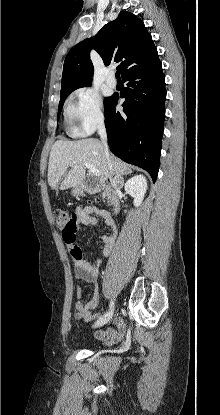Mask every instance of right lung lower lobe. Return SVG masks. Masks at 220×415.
<instances>
[{
	"instance_id": "1",
	"label": "right lung lower lobe",
	"mask_w": 220,
	"mask_h": 415,
	"mask_svg": "<svg viewBox=\"0 0 220 415\" xmlns=\"http://www.w3.org/2000/svg\"><path fill=\"white\" fill-rule=\"evenodd\" d=\"M127 84L121 98L123 111L116 112L119 95L105 108L110 150L127 163L146 170L153 182L160 165L166 100L165 77L158 59L148 67L123 77Z\"/></svg>"
}]
</instances>
